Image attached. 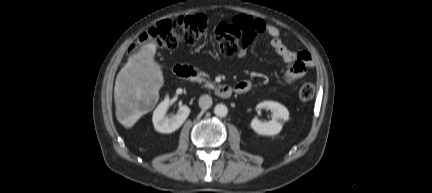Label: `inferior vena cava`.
<instances>
[{
	"mask_svg": "<svg viewBox=\"0 0 432 193\" xmlns=\"http://www.w3.org/2000/svg\"><path fill=\"white\" fill-rule=\"evenodd\" d=\"M212 105V98L209 95H202L199 98V106L206 110L208 108H210Z\"/></svg>",
	"mask_w": 432,
	"mask_h": 193,
	"instance_id": "inferior-vena-cava-1",
	"label": "inferior vena cava"
}]
</instances>
